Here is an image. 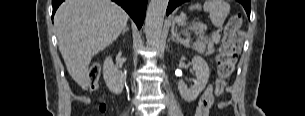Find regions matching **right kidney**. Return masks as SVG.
Returning <instances> with one entry per match:
<instances>
[{"label":"right kidney","mask_w":305,"mask_h":116,"mask_svg":"<svg viewBox=\"0 0 305 116\" xmlns=\"http://www.w3.org/2000/svg\"><path fill=\"white\" fill-rule=\"evenodd\" d=\"M103 77L108 89L112 93L118 95L123 91L126 76L115 67L111 57H107L104 61Z\"/></svg>","instance_id":"1"}]
</instances>
